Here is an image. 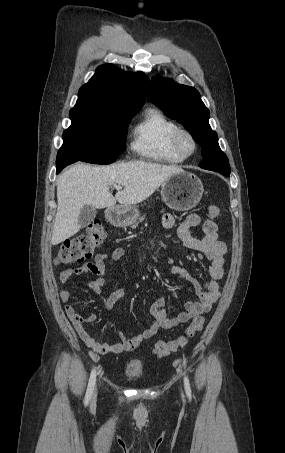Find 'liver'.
<instances>
[{"label": "liver", "mask_w": 285, "mask_h": 453, "mask_svg": "<svg viewBox=\"0 0 285 453\" xmlns=\"http://www.w3.org/2000/svg\"><path fill=\"white\" fill-rule=\"evenodd\" d=\"M178 166H167L135 160L110 166L78 163L63 172L57 180V213L52 244L74 236L81 228L78 217L84 206L102 209L140 203L152 195L170 176L182 172ZM111 185L123 186L115 197Z\"/></svg>", "instance_id": "6515ba94"}]
</instances>
